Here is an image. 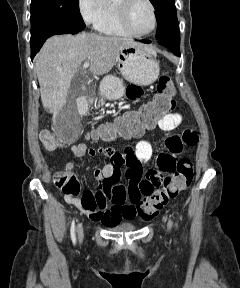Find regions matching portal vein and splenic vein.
I'll return each mask as SVG.
<instances>
[{
  "mask_svg": "<svg viewBox=\"0 0 240 288\" xmlns=\"http://www.w3.org/2000/svg\"><path fill=\"white\" fill-rule=\"evenodd\" d=\"M90 63L88 61L84 62L83 69H87L89 67Z\"/></svg>",
  "mask_w": 240,
  "mask_h": 288,
  "instance_id": "portal-vein-and-splenic-vein-1",
  "label": "portal vein and splenic vein"
}]
</instances>
